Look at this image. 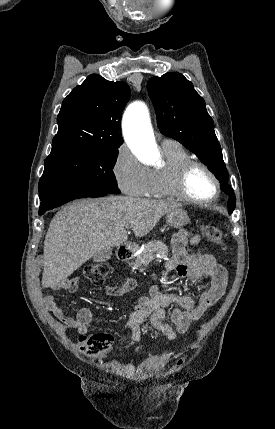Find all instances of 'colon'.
I'll list each match as a JSON object with an SVG mask.
<instances>
[{
  "label": "colon",
  "mask_w": 275,
  "mask_h": 429,
  "mask_svg": "<svg viewBox=\"0 0 275 429\" xmlns=\"http://www.w3.org/2000/svg\"><path fill=\"white\" fill-rule=\"evenodd\" d=\"M202 235L211 243L225 250L223 244V233L214 224L206 223L201 227ZM109 272V267L104 263L91 264L84 267L83 277L92 284H101ZM113 338L110 334L96 333L91 336H82L78 339L76 347L85 356L92 359H100L107 355L111 349ZM185 358L181 357L177 361V366H181Z\"/></svg>",
  "instance_id": "colon-1"
}]
</instances>
